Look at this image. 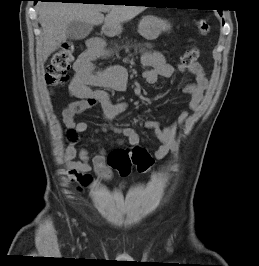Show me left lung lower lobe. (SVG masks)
<instances>
[{
    "instance_id": "obj_1",
    "label": "left lung lower lobe",
    "mask_w": 259,
    "mask_h": 266,
    "mask_svg": "<svg viewBox=\"0 0 259 266\" xmlns=\"http://www.w3.org/2000/svg\"><path fill=\"white\" fill-rule=\"evenodd\" d=\"M219 11V13H220V15L222 14V10H218Z\"/></svg>"
}]
</instances>
